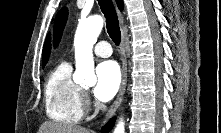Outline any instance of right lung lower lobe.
I'll return each mask as SVG.
<instances>
[{
	"instance_id": "98d812e1",
	"label": "right lung lower lobe",
	"mask_w": 221,
	"mask_h": 133,
	"mask_svg": "<svg viewBox=\"0 0 221 133\" xmlns=\"http://www.w3.org/2000/svg\"><path fill=\"white\" fill-rule=\"evenodd\" d=\"M114 121L115 120L113 119L109 123H107V125L102 128V133H107L108 131H110L114 125Z\"/></svg>"
}]
</instances>
